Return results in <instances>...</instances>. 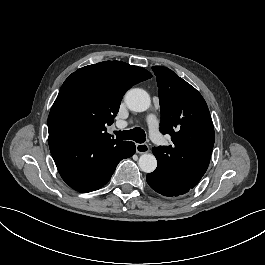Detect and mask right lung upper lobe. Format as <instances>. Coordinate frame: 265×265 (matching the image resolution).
<instances>
[{"mask_svg": "<svg viewBox=\"0 0 265 265\" xmlns=\"http://www.w3.org/2000/svg\"><path fill=\"white\" fill-rule=\"evenodd\" d=\"M151 77L144 68L120 61H104L80 68L63 83L48 119L62 107H82L91 117L80 136L111 138L106 126L113 123L122 96L133 85Z\"/></svg>", "mask_w": 265, "mask_h": 265, "instance_id": "1", "label": "right lung upper lobe"}]
</instances>
